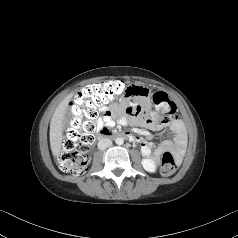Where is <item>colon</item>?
Returning <instances> with one entry per match:
<instances>
[{"instance_id":"colon-1","label":"colon","mask_w":238,"mask_h":238,"mask_svg":"<svg viewBox=\"0 0 238 238\" xmlns=\"http://www.w3.org/2000/svg\"><path fill=\"white\" fill-rule=\"evenodd\" d=\"M131 94L130 88H125L120 81H102L82 88L72 103L74 118L71 128L63 143V150L58 158L60 170L78 175L85 171L87 153L94 141L97 131L95 118L104 104L116 97ZM152 119L157 122H168L175 118L176 106L163 92L153 95L151 108ZM82 117H85L83 120ZM176 170V160L171 152L162 154L160 171L164 176L173 174Z\"/></svg>"}]
</instances>
